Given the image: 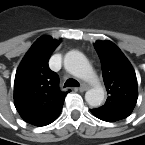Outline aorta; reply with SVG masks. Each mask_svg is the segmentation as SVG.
Masks as SVG:
<instances>
[{
  "mask_svg": "<svg viewBox=\"0 0 145 145\" xmlns=\"http://www.w3.org/2000/svg\"><path fill=\"white\" fill-rule=\"evenodd\" d=\"M65 68L74 76L85 81H95V74L83 54L78 51H71L66 54L64 59ZM105 97L102 86L96 84L85 94V100L91 107H99Z\"/></svg>",
  "mask_w": 145,
  "mask_h": 145,
  "instance_id": "1",
  "label": "aorta"
}]
</instances>
